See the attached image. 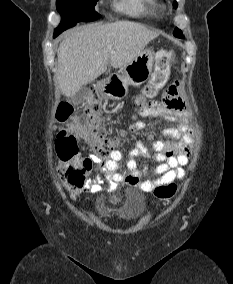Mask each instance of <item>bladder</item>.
Returning a JSON list of instances; mask_svg holds the SVG:
<instances>
[{
  "label": "bladder",
  "mask_w": 233,
  "mask_h": 284,
  "mask_svg": "<svg viewBox=\"0 0 233 284\" xmlns=\"http://www.w3.org/2000/svg\"><path fill=\"white\" fill-rule=\"evenodd\" d=\"M93 211L103 221L116 217L126 223H135L146 213L147 199L142 192L129 189L121 203L113 206L108 196L99 195L93 202Z\"/></svg>",
  "instance_id": "1"
}]
</instances>
